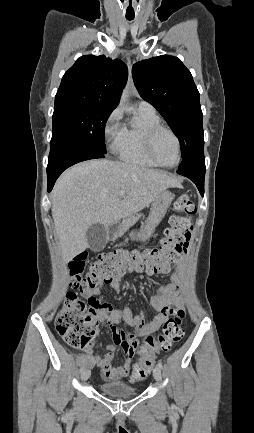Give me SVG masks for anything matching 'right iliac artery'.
Returning a JSON list of instances; mask_svg holds the SVG:
<instances>
[{"instance_id":"right-iliac-artery-1","label":"right iliac artery","mask_w":254,"mask_h":433,"mask_svg":"<svg viewBox=\"0 0 254 433\" xmlns=\"http://www.w3.org/2000/svg\"><path fill=\"white\" fill-rule=\"evenodd\" d=\"M83 370H84V368H83V367H81V368H80V372H82Z\"/></svg>"}]
</instances>
